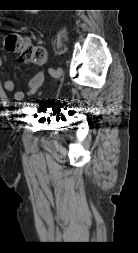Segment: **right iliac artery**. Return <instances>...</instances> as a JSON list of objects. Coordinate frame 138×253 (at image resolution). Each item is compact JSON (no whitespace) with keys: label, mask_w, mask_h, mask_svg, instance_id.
Here are the masks:
<instances>
[{"label":"right iliac artery","mask_w":138,"mask_h":253,"mask_svg":"<svg viewBox=\"0 0 138 253\" xmlns=\"http://www.w3.org/2000/svg\"><path fill=\"white\" fill-rule=\"evenodd\" d=\"M55 73H56L55 70H52V68H49V71H48L49 75H52L55 78Z\"/></svg>","instance_id":"82829eb1"}]
</instances>
